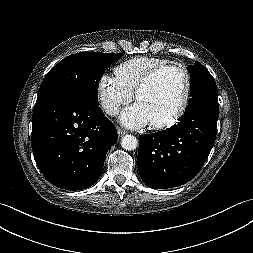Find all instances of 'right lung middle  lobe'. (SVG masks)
Returning <instances> with one entry per match:
<instances>
[{
  "label": "right lung middle lobe",
  "instance_id": "1",
  "mask_svg": "<svg viewBox=\"0 0 253 253\" xmlns=\"http://www.w3.org/2000/svg\"><path fill=\"white\" fill-rule=\"evenodd\" d=\"M122 56L80 52L64 58L44 78L37 100L59 95L86 105L98 106V82L105 70Z\"/></svg>",
  "mask_w": 253,
  "mask_h": 253
}]
</instances>
